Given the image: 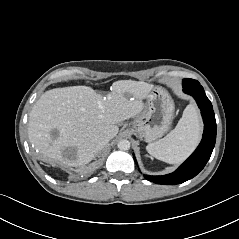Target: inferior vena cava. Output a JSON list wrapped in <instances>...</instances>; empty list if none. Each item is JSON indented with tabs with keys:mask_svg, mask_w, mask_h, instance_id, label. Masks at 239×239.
Wrapping results in <instances>:
<instances>
[{
	"mask_svg": "<svg viewBox=\"0 0 239 239\" xmlns=\"http://www.w3.org/2000/svg\"><path fill=\"white\" fill-rule=\"evenodd\" d=\"M109 140L107 138H102L99 142H98V150L103 149L107 144H108Z\"/></svg>",
	"mask_w": 239,
	"mask_h": 239,
	"instance_id": "602c4592",
	"label": "inferior vena cava"
}]
</instances>
